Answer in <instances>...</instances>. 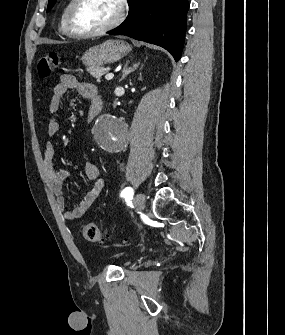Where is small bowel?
<instances>
[{
    "label": "small bowel",
    "mask_w": 285,
    "mask_h": 335,
    "mask_svg": "<svg viewBox=\"0 0 285 335\" xmlns=\"http://www.w3.org/2000/svg\"><path fill=\"white\" fill-rule=\"evenodd\" d=\"M69 90H76L77 93L89 101V106L97 100H100L96 87L90 83H82L76 77L70 74H63L60 81L53 89V95L49 103V111L56 114L59 111L61 102ZM60 129L59 123L51 119L47 125V134L50 137L55 136ZM43 158L46 174L50 186L56 196V203L66 221L73 222L82 217L93 202L99 197L104 187V181L100 177V170L94 163H87L84 167L85 175L93 180L94 184L82 201L74 208L68 209L63 194V183L66 178L65 171L55 163V148L50 142L46 143L43 150Z\"/></svg>",
    "instance_id": "c3829d8e"
}]
</instances>
